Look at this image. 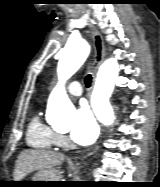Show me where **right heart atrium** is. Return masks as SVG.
<instances>
[{
    "label": "right heart atrium",
    "instance_id": "obj_1",
    "mask_svg": "<svg viewBox=\"0 0 160 187\" xmlns=\"http://www.w3.org/2000/svg\"><path fill=\"white\" fill-rule=\"evenodd\" d=\"M69 145V141L66 136L58 134V146L66 147Z\"/></svg>",
    "mask_w": 160,
    "mask_h": 187
}]
</instances>
